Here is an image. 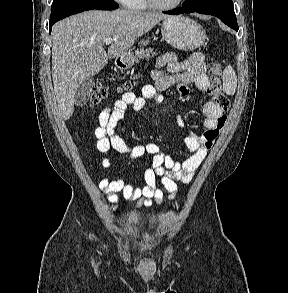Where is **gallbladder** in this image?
Segmentation results:
<instances>
[{"label":"gallbladder","instance_id":"bac80fb5","mask_svg":"<svg viewBox=\"0 0 288 293\" xmlns=\"http://www.w3.org/2000/svg\"><path fill=\"white\" fill-rule=\"evenodd\" d=\"M92 79L89 78L83 81L78 87L75 97L74 103L77 106H83L87 103L91 93Z\"/></svg>","mask_w":288,"mask_h":293}]
</instances>
